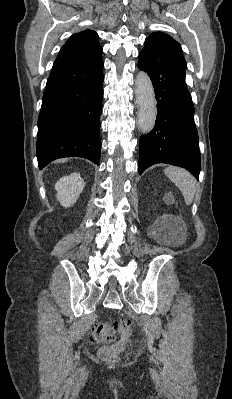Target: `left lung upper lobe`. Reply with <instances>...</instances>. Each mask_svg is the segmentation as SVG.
<instances>
[{
  "mask_svg": "<svg viewBox=\"0 0 232 399\" xmlns=\"http://www.w3.org/2000/svg\"><path fill=\"white\" fill-rule=\"evenodd\" d=\"M152 41H157L167 44L185 61L180 44L169 35L161 32L152 33L150 36H148L146 42H152Z\"/></svg>",
  "mask_w": 232,
  "mask_h": 399,
  "instance_id": "left-lung-upper-lobe-1",
  "label": "left lung upper lobe"
}]
</instances>
